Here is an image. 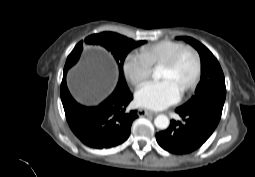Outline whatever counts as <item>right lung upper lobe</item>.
<instances>
[{
	"mask_svg": "<svg viewBox=\"0 0 255 177\" xmlns=\"http://www.w3.org/2000/svg\"><path fill=\"white\" fill-rule=\"evenodd\" d=\"M80 43V42H79ZM78 43V44H79ZM78 44L76 45V47L73 49V51L71 52V55H74V52L76 51V49L78 48Z\"/></svg>",
	"mask_w": 255,
	"mask_h": 177,
	"instance_id": "1",
	"label": "right lung upper lobe"
}]
</instances>
